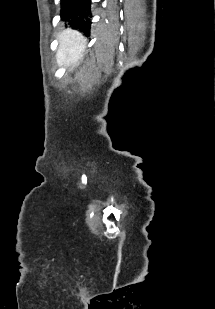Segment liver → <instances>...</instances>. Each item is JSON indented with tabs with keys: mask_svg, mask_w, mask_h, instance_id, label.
Returning a JSON list of instances; mask_svg holds the SVG:
<instances>
[{
	"mask_svg": "<svg viewBox=\"0 0 215 309\" xmlns=\"http://www.w3.org/2000/svg\"><path fill=\"white\" fill-rule=\"evenodd\" d=\"M60 44L56 54L58 64H78L80 58L84 56L83 52L86 48V38L78 30L67 28L59 34Z\"/></svg>",
	"mask_w": 215,
	"mask_h": 309,
	"instance_id": "6515ba94",
	"label": "liver"
}]
</instances>
